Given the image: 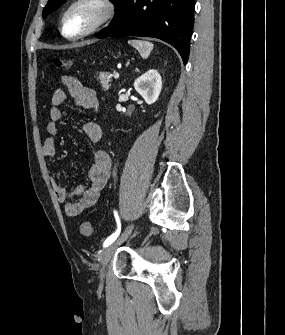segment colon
<instances>
[{
    "label": "colon",
    "mask_w": 285,
    "mask_h": 335,
    "mask_svg": "<svg viewBox=\"0 0 285 335\" xmlns=\"http://www.w3.org/2000/svg\"><path fill=\"white\" fill-rule=\"evenodd\" d=\"M54 65L58 69H70L72 62L66 59H57L54 61ZM79 231L83 236H90L93 233V226L89 221H82L79 224Z\"/></svg>",
    "instance_id": "1"
}]
</instances>
